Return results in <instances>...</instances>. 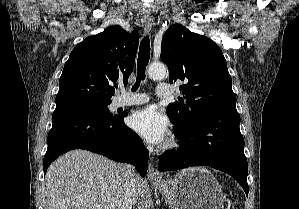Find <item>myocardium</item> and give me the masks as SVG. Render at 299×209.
I'll return each mask as SVG.
<instances>
[{
  "label": "myocardium",
  "mask_w": 299,
  "mask_h": 209,
  "mask_svg": "<svg viewBox=\"0 0 299 209\" xmlns=\"http://www.w3.org/2000/svg\"><path fill=\"white\" fill-rule=\"evenodd\" d=\"M178 146V142L175 139H171L164 147L165 151H171Z\"/></svg>",
  "instance_id": "obj_1"
}]
</instances>
